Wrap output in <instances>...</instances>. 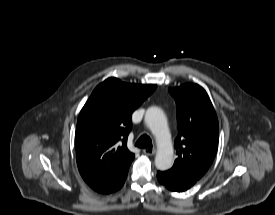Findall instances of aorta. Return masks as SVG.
<instances>
[{"label": "aorta", "mask_w": 275, "mask_h": 215, "mask_svg": "<svg viewBox=\"0 0 275 215\" xmlns=\"http://www.w3.org/2000/svg\"><path fill=\"white\" fill-rule=\"evenodd\" d=\"M144 120L157 141L156 168L161 171L170 169L173 165V146L164 112L158 107H150Z\"/></svg>", "instance_id": "1"}]
</instances>
